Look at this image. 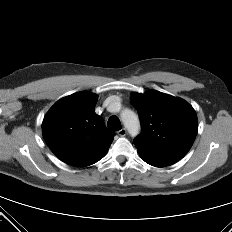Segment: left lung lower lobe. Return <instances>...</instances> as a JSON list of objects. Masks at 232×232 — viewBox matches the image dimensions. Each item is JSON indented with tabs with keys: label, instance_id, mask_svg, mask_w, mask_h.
Returning a JSON list of instances; mask_svg holds the SVG:
<instances>
[{
	"label": "left lung lower lobe",
	"instance_id": "obj_1",
	"mask_svg": "<svg viewBox=\"0 0 232 232\" xmlns=\"http://www.w3.org/2000/svg\"><path fill=\"white\" fill-rule=\"evenodd\" d=\"M146 163L155 166V167H165V166H169L172 165L174 163H176L177 161L175 160H166V161H152V160H145L143 159Z\"/></svg>",
	"mask_w": 232,
	"mask_h": 232
}]
</instances>
